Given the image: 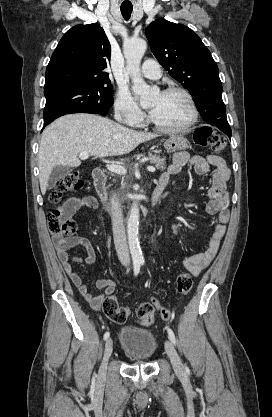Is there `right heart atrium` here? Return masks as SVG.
<instances>
[{
    "instance_id": "1",
    "label": "right heart atrium",
    "mask_w": 272,
    "mask_h": 417,
    "mask_svg": "<svg viewBox=\"0 0 272 417\" xmlns=\"http://www.w3.org/2000/svg\"><path fill=\"white\" fill-rule=\"evenodd\" d=\"M114 111L123 123L136 126L144 120V112L140 109L129 91L120 89L115 97Z\"/></svg>"
}]
</instances>
